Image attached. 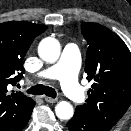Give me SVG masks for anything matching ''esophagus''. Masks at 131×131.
<instances>
[{
	"label": "esophagus",
	"mask_w": 131,
	"mask_h": 131,
	"mask_svg": "<svg viewBox=\"0 0 131 131\" xmlns=\"http://www.w3.org/2000/svg\"><path fill=\"white\" fill-rule=\"evenodd\" d=\"M44 100L48 103H55L57 101V98H51V97L45 96Z\"/></svg>",
	"instance_id": "1"
}]
</instances>
